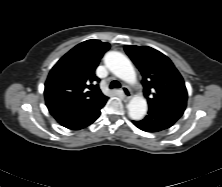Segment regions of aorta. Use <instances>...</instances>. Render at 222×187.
Instances as JSON below:
<instances>
[{"label": "aorta", "instance_id": "aorta-1", "mask_svg": "<svg viewBox=\"0 0 222 187\" xmlns=\"http://www.w3.org/2000/svg\"><path fill=\"white\" fill-rule=\"evenodd\" d=\"M106 67L118 78L129 83L135 84L137 76L131 61L121 52L109 51L104 56ZM147 101L142 95L134 96L129 104V117L132 120H141L147 112Z\"/></svg>", "mask_w": 222, "mask_h": 187}]
</instances>
